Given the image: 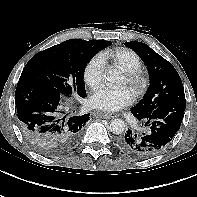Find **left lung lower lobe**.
<instances>
[{
    "mask_svg": "<svg viewBox=\"0 0 197 197\" xmlns=\"http://www.w3.org/2000/svg\"><path fill=\"white\" fill-rule=\"evenodd\" d=\"M186 108L185 100L161 104L143 116L132 114L143 126L142 133L126 131L118 140L119 147L135 158H150L163 151L178 132Z\"/></svg>",
    "mask_w": 197,
    "mask_h": 197,
    "instance_id": "left-lung-lower-lobe-1",
    "label": "left lung lower lobe"
}]
</instances>
